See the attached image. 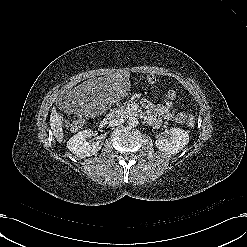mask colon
<instances>
[{
  "label": "colon",
  "instance_id": "colon-1",
  "mask_svg": "<svg viewBox=\"0 0 247 247\" xmlns=\"http://www.w3.org/2000/svg\"><path fill=\"white\" fill-rule=\"evenodd\" d=\"M176 94H177L176 89L170 88L166 93V97L168 99H174L176 97ZM84 121L85 118L83 116H76L72 120H66V127L71 131H76L83 126ZM185 122L188 126H194L196 120L193 115H187Z\"/></svg>",
  "mask_w": 247,
  "mask_h": 247
}]
</instances>
